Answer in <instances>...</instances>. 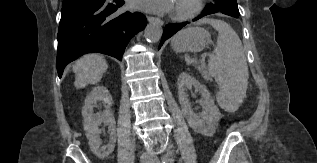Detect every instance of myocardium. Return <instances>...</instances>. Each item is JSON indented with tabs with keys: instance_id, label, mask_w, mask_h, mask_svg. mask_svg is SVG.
<instances>
[{
	"instance_id": "1",
	"label": "myocardium",
	"mask_w": 317,
	"mask_h": 163,
	"mask_svg": "<svg viewBox=\"0 0 317 163\" xmlns=\"http://www.w3.org/2000/svg\"><path fill=\"white\" fill-rule=\"evenodd\" d=\"M181 8L173 9L172 18L185 21L198 15L204 8V0H186Z\"/></svg>"
}]
</instances>
